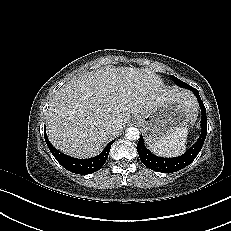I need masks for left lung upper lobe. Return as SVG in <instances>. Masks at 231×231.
<instances>
[{
    "instance_id": "1",
    "label": "left lung upper lobe",
    "mask_w": 231,
    "mask_h": 231,
    "mask_svg": "<svg viewBox=\"0 0 231 231\" xmlns=\"http://www.w3.org/2000/svg\"><path fill=\"white\" fill-rule=\"evenodd\" d=\"M171 78L173 79V81L179 85L180 87L186 88L188 87V84L184 83L183 81L179 80L178 78H176L175 76H171Z\"/></svg>"
}]
</instances>
